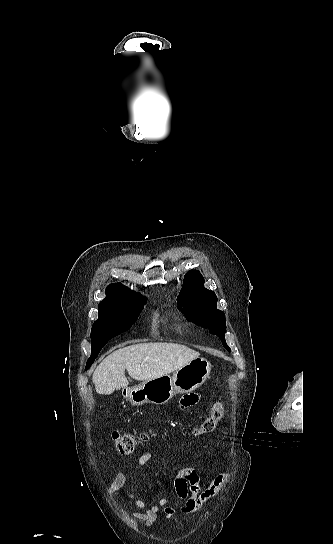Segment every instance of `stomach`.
Listing matches in <instances>:
<instances>
[{"instance_id":"1","label":"stomach","mask_w":333,"mask_h":544,"mask_svg":"<svg viewBox=\"0 0 333 544\" xmlns=\"http://www.w3.org/2000/svg\"><path fill=\"white\" fill-rule=\"evenodd\" d=\"M210 371L211 365L206 359L196 358L176 370L172 377L164 375L128 388L125 396L135 406L146 403L163 405L178 393L191 392L200 387Z\"/></svg>"}]
</instances>
